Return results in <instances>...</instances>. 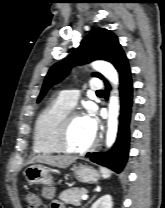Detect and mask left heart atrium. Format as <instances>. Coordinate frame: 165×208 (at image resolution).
Here are the masks:
<instances>
[{"label": "left heart atrium", "instance_id": "obj_1", "mask_svg": "<svg viewBox=\"0 0 165 208\" xmlns=\"http://www.w3.org/2000/svg\"><path fill=\"white\" fill-rule=\"evenodd\" d=\"M84 119L89 133L91 134L92 137H95L98 130V121L97 118L95 117L94 112L90 110L84 116Z\"/></svg>", "mask_w": 165, "mask_h": 208}]
</instances>
